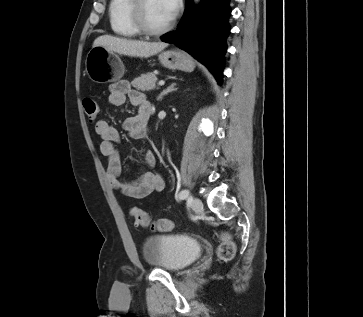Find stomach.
I'll use <instances>...</instances> for the list:
<instances>
[{
    "mask_svg": "<svg viewBox=\"0 0 363 317\" xmlns=\"http://www.w3.org/2000/svg\"><path fill=\"white\" fill-rule=\"evenodd\" d=\"M160 63L170 70L192 72L194 62L189 55L179 50L162 52L159 55ZM86 72L95 83L115 82L124 75V65L119 56L105 47H93L85 60Z\"/></svg>",
    "mask_w": 363,
    "mask_h": 317,
    "instance_id": "stomach-1",
    "label": "stomach"
}]
</instances>
